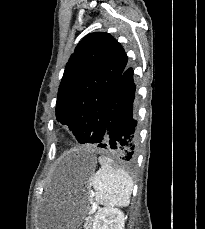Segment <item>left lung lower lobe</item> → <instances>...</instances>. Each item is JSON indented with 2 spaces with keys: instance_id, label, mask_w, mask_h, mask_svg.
<instances>
[{
  "instance_id": "1",
  "label": "left lung lower lobe",
  "mask_w": 205,
  "mask_h": 229,
  "mask_svg": "<svg viewBox=\"0 0 205 229\" xmlns=\"http://www.w3.org/2000/svg\"><path fill=\"white\" fill-rule=\"evenodd\" d=\"M135 90L133 69L125 68L107 101L103 124L86 131L90 143L114 152L129 163L136 157L138 137L137 120L134 117Z\"/></svg>"
}]
</instances>
